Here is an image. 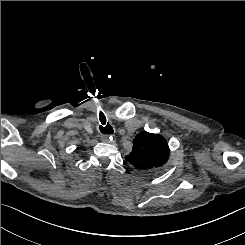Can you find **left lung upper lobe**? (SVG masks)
I'll use <instances>...</instances> for the list:
<instances>
[{"label": "left lung upper lobe", "instance_id": "1", "mask_svg": "<svg viewBox=\"0 0 245 245\" xmlns=\"http://www.w3.org/2000/svg\"><path fill=\"white\" fill-rule=\"evenodd\" d=\"M132 152L125 160L139 170H161L169 158L166 139L159 134L139 133L133 140Z\"/></svg>", "mask_w": 245, "mask_h": 245}]
</instances>
